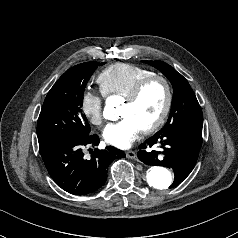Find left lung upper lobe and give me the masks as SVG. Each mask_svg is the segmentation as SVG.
Here are the masks:
<instances>
[{
    "label": "left lung upper lobe",
    "mask_w": 238,
    "mask_h": 238,
    "mask_svg": "<svg viewBox=\"0 0 238 238\" xmlns=\"http://www.w3.org/2000/svg\"><path fill=\"white\" fill-rule=\"evenodd\" d=\"M161 71L173 86V99L169 118L157 133L186 126H202L203 114L197 98L187 80L163 61H144Z\"/></svg>",
    "instance_id": "left-lung-upper-lobe-1"
}]
</instances>
